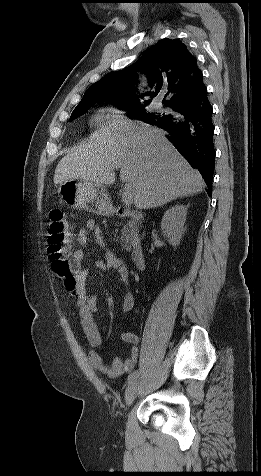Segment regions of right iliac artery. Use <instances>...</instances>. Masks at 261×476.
I'll return each instance as SVG.
<instances>
[{"label":"right iliac artery","mask_w":261,"mask_h":476,"mask_svg":"<svg viewBox=\"0 0 261 476\" xmlns=\"http://www.w3.org/2000/svg\"><path fill=\"white\" fill-rule=\"evenodd\" d=\"M137 376H138V371L136 370L130 373V375L127 378V383L130 384L133 380H135V378H137Z\"/></svg>","instance_id":"right-iliac-artery-1"}]
</instances>
